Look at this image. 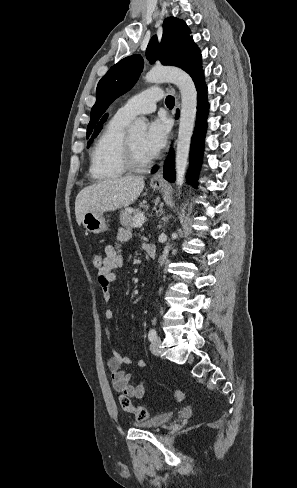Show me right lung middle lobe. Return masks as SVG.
<instances>
[{
	"label": "right lung middle lobe",
	"instance_id": "1",
	"mask_svg": "<svg viewBox=\"0 0 297 488\" xmlns=\"http://www.w3.org/2000/svg\"><path fill=\"white\" fill-rule=\"evenodd\" d=\"M97 135H98V134H97ZM97 135H96V136H97ZM96 136H94V137H96ZM91 141H92V139L90 140V142H89V143H91ZM88 146H89V144H88Z\"/></svg>",
	"mask_w": 297,
	"mask_h": 488
}]
</instances>
